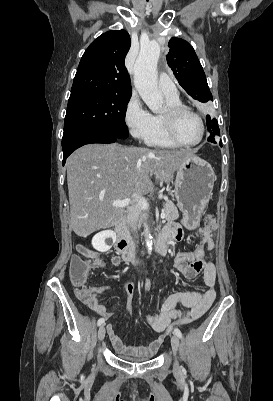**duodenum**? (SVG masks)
I'll use <instances>...</instances> for the list:
<instances>
[{"label": "duodenum", "mask_w": 273, "mask_h": 401, "mask_svg": "<svg viewBox=\"0 0 273 401\" xmlns=\"http://www.w3.org/2000/svg\"><path fill=\"white\" fill-rule=\"evenodd\" d=\"M117 240H116V250L120 254L123 260L127 262H132L134 264L140 263L145 252L140 251L136 244L131 242L127 235V220H122L116 227ZM170 244V239L162 234L158 240L157 245L152 251V256L158 258L162 256Z\"/></svg>", "instance_id": "obj_1"}]
</instances>
